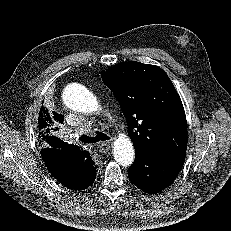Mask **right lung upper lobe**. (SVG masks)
I'll use <instances>...</instances> for the list:
<instances>
[{
  "label": "right lung upper lobe",
  "instance_id": "right-lung-upper-lobe-1",
  "mask_svg": "<svg viewBox=\"0 0 231 231\" xmlns=\"http://www.w3.org/2000/svg\"><path fill=\"white\" fill-rule=\"evenodd\" d=\"M63 116L53 117L48 109L41 107L38 117L39 133L42 137L41 156L49 172L64 186L79 190L85 180L87 166L83 164L87 159V152L78 146L63 142L50 136L53 126L62 123ZM57 129V127H55ZM41 143V142H40ZM89 153V152H88Z\"/></svg>",
  "mask_w": 231,
  "mask_h": 231
}]
</instances>
